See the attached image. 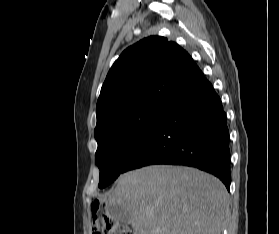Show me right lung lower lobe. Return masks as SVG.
Returning a JSON list of instances; mask_svg holds the SVG:
<instances>
[{
	"instance_id": "98d812e1",
	"label": "right lung lower lobe",
	"mask_w": 279,
	"mask_h": 234,
	"mask_svg": "<svg viewBox=\"0 0 279 234\" xmlns=\"http://www.w3.org/2000/svg\"><path fill=\"white\" fill-rule=\"evenodd\" d=\"M152 164L197 167L229 190L230 149L226 113L203 73L165 112L123 168V172Z\"/></svg>"
}]
</instances>
